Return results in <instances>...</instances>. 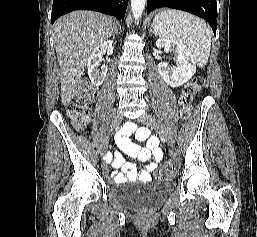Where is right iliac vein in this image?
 Here are the masks:
<instances>
[{
  "instance_id": "obj_1",
  "label": "right iliac vein",
  "mask_w": 257,
  "mask_h": 237,
  "mask_svg": "<svg viewBox=\"0 0 257 237\" xmlns=\"http://www.w3.org/2000/svg\"><path fill=\"white\" fill-rule=\"evenodd\" d=\"M122 121V114L118 109H115L113 114H112V121H111V131L114 129H117L118 126L120 125ZM108 144H109V138L107 137L102 144V151L106 152L108 149Z\"/></svg>"
}]
</instances>
